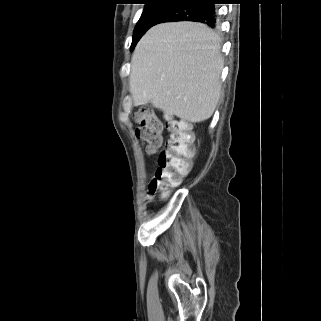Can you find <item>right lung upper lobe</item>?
<instances>
[{"label": "right lung upper lobe", "instance_id": "cb5924a9", "mask_svg": "<svg viewBox=\"0 0 321 321\" xmlns=\"http://www.w3.org/2000/svg\"><path fill=\"white\" fill-rule=\"evenodd\" d=\"M144 1H145V4H147V3H149V2L156 1V0H144ZM173 1L176 2L175 5H179V4H182V3H184V2H186V1H188V0H173Z\"/></svg>", "mask_w": 321, "mask_h": 321}]
</instances>
